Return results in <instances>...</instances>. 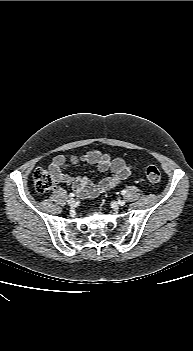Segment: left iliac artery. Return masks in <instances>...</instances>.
Masks as SVG:
<instances>
[{"mask_svg": "<svg viewBox=\"0 0 193 351\" xmlns=\"http://www.w3.org/2000/svg\"><path fill=\"white\" fill-rule=\"evenodd\" d=\"M125 193H126L125 190H122V191H121V194H122V195H125Z\"/></svg>", "mask_w": 193, "mask_h": 351, "instance_id": "44dca946", "label": "left iliac artery"}]
</instances>
